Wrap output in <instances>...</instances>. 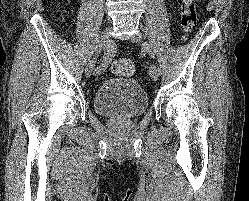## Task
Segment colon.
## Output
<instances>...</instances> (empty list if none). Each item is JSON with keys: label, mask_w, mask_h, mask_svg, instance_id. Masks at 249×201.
<instances>
[{"label": "colon", "mask_w": 249, "mask_h": 201, "mask_svg": "<svg viewBox=\"0 0 249 201\" xmlns=\"http://www.w3.org/2000/svg\"><path fill=\"white\" fill-rule=\"evenodd\" d=\"M197 25V11L195 0H182L181 2V27L182 40L186 41L188 36L195 30ZM112 71L117 75L130 77L134 74V63L129 59H119L112 64Z\"/></svg>", "instance_id": "5ec220e1"}]
</instances>
